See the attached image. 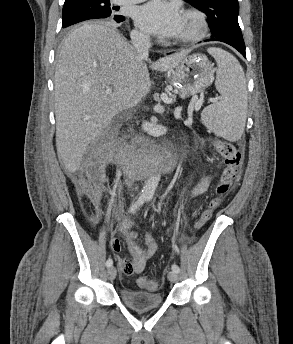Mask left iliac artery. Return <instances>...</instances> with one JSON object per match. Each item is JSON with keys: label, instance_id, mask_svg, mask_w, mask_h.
<instances>
[{"label": "left iliac artery", "instance_id": "left-iliac-artery-1", "mask_svg": "<svg viewBox=\"0 0 293 344\" xmlns=\"http://www.w3.org/2000/svg\"><path fill=\"white\" fill-rule=\"evenodd\" d=\"M151 197H148L147 200L150 201ZM172 270L179 273L180 272V268L177 264H173L172 265Z\"/></svg>", "mask_w": 293, "mask_h": 344}]
</instances>
